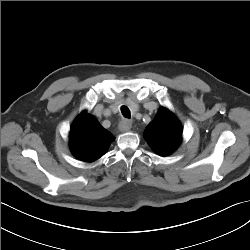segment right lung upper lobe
<instances>
[{
  "mask_svg": "<svg viewBox=\"0 0 250 250\" xmlns=\"http://www.w3.org/2000/svg\"><path fill=\"white\" fill-rule=\"evenodd\" d=\"M115 138L105 130L92 115L83 112L70 130V148L80 160L92 162L108 150Z\"/></svg>",
  "mask_w": 250,
  "mask_h": 250,
  "instance_id": "1",
  "label": "right lung upper lobe"
}]
</instances>
